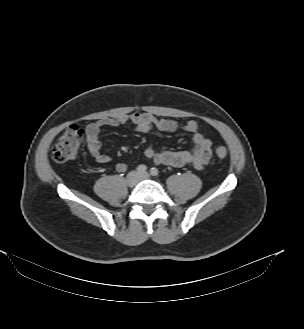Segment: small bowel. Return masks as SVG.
Listing matches in <instances>:
<instances>
[{
  "label": "small bowel",
  "instance_id": "obj_1",
  "mask_svg": "<svg viewBox=\"0 0 304 329\" xmlns=\"http://www.w3.org/2000/svg\"><path fill=\"white\" fill-rule=\"evenodd\" d=\"M131 124L139 133H149L156 129L162 132H185L190 134L193 145L192 151H156L151 145L145 148V156L157 165H170L174 167L191 166L203 169L210 161L212 143L206 139L195 121L179 123L172 119H157L150 113L135 112L111 118H104L90 123L85 127V136L88 150L93 159L100 164L111 162V157L102 152L100 139L101 130L106 126H121ZM116 170L120 173L127 170L125 163H118Z\"/></svg>",
  "mask_w": 304,
  "mask_h": 329
}]
</instances>
